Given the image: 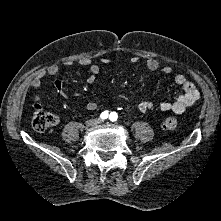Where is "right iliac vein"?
Instances as JSON below:
<instances>
[{
  "label": "right iliac vein",
  "mask_w": 221,
  "mask_h": 221,
  "mask_svg": "<svg viewBox=\"0 0 221 221\" xmlns=\"http://www.w3.org/2000/svg\"><path fill=\"white\" fill-rule=\"evenodd\" d=\"M96 123H97V120H95V119H89V120L86 121V126H87V127H90V126H93V125L96 124Z\"/></svg>",
  "instance_id": "63e3f726"
}]
</instances>
